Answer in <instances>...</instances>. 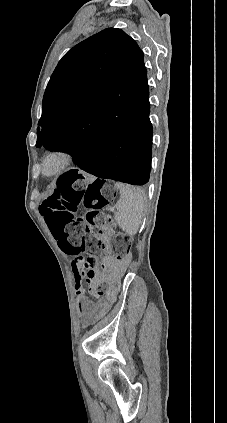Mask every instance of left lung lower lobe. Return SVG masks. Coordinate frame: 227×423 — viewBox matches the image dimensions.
<instances>
[{
    "label": "left lung lower lobe",
    "instance_id": "1",
    "mask_svg": "<svg viewBox=\"0 0 227 423\" xmlns=\"http://www.w3.org/2000/svg\"><path fill=\"white\" fill-rule=\"evenodd\" d=\"M149 112L150 105L142 113L108 112L83 136L56 142L47 149L71 154L80 169L97 177L144 185L151 166ZM68 175H77V170Z\"/></svg>",
    "mask_w": 227,
    "mask_h": 423
}]
</instances>
